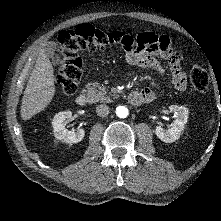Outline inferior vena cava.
<instances>
[{
	"label": "inferior vena cava",
	"instance_id": "obj_1",
	"mask_svg": "<svg viewBox=\"0 0 221 221\" xmlns=\"http://www.w3.org/2000/svg\"><path fill=\"white\" fill-rule=\"evenodd\" d=\"M109 107L107 105H98L96 107V113L98 116L105 117L109 114Z\"/></svg>",
	"mask_w": 221,
	"mask_h": 221
}]
</instances>
